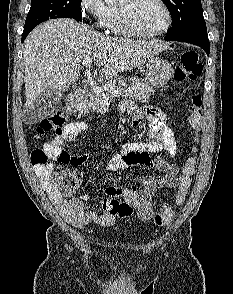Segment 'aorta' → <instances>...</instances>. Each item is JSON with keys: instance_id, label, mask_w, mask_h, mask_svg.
Masks as SVG:
<instances>
[{"instance_id": "aorta-1", "label": "aorta", "mask_w": 233, "mask_h": 294, "mask_svg": "<svg viewBox=\"0 0 233 294\" xmlns=\"http://www.w3.org/2000/svg\"><path fill=\"white\" fill-rule=\"evenodd\" d=\"M106 4H115L118 3L119 0H104Z\"/></svg>"}]
</instances>
